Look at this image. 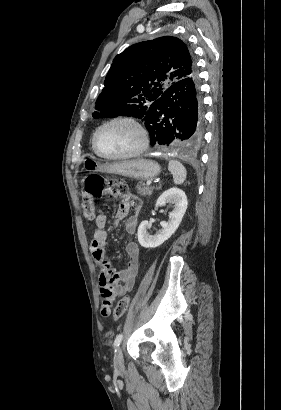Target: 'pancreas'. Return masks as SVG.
<instances>
[{
	"label": "pancreas",
	"instance_id": "obj_1",
	"mask_svg": "<svg viewBox=\"0 0 281 410\" xmlns=\"http://www.w3.org/2000/svg\"><path fill=\"white\" fill-rule=\"evenodd\" d=\"M136 190L141 196H150L153 193L154 188L146 186L144 184H138L136 186Z\"/></svg>",
	"mask_w": 281,
	"mask_h": 410
}]
</instances>
